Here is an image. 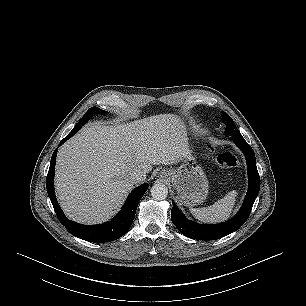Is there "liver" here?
<instances>
[{
    "label": "liver",
    "instance_id": "1",
    "mask_svg": "<svg viewBox=\"0 0 306 306\" xmlns=\"http://www.w3.org/2000/svg\"><path fill=\"white\" fill-rule=\"evenodd\" d=\"M189 152L183 122L159 114L127 124L84 127L62 145L55 186L66 216L82 224L108 220L133 188L129 175L153 165H173Z\"/></svg>",
    "mask_w": 306,
    "mask_h": 306
}]
</instances>
